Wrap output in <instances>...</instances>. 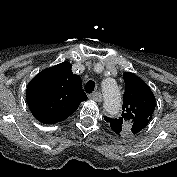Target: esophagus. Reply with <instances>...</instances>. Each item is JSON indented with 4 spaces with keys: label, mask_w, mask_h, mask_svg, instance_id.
<instances>
[{
    "label": "esophagus",
    "mask_w": 177,
    "mask_h": 177,
    "mask_svg": "<svg viewBox=\"0 0 177 177\" xmlns=\"http://www.w3.org/2000/svg\"><path fill=\"white\" fill-rule=\"evenodd\" d=\"M90 98L97 102H101L103 100L102 94L100 92H94L93 94L90 95Z\"/></svg>",
    "instance_id": "esophagus-1"
}]
</instances>
